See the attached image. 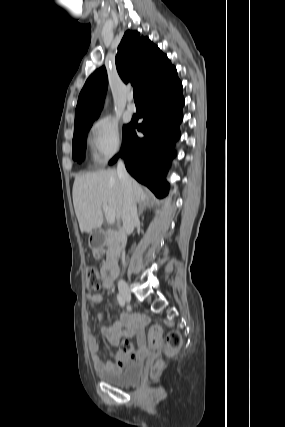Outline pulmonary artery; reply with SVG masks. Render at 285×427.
Wrapping results in <instances>:
<instances>
[{
	"label": "pulmonary artery",
	"mask_w": 285,
	"mask_h": 427,
	"mask_svg": "<svg viewBox=\"0 0 285 427\" xmlns=\"http://www.w3.org/2000/svg\"><path fill=\"white\" fill-rule=\"evenodd\" d=\"M127 109H128L130 112H134V111L136 110V104H135V103H134V101H133V97H132V95H129V96H128Z\"/></svg>",
	"instance_id": "obj_1"
}]
</instances>
